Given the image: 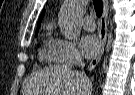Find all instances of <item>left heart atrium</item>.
I'll use <instances>...</instances> for the list:
<instances>
[{
  "label": "left heart atrium",
  "instance_id": "obj_1",
  "mask_svg": "<svg viewBox=\"0 0 135 95\" xmlns=\"http://www.w3.org/2000/svg\"><path fill=\"white\" fill-rule=\"evenodd\" d=\"M80 48L86 57H92L100 48V41L95 35L87 34L80 39Z\"/></svg>",
  "mask_w": 135,
  "mask_h": 95
}]
</instances>
